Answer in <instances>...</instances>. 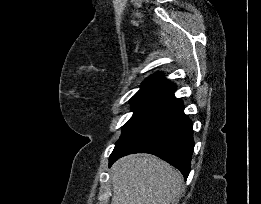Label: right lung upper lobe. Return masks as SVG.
<instances>
[{"mask_svg":"<svg viewBox=\"0 0 261 204\" xmlns=\"http://www.w3.org/2000/svg\"><path fill=\"white\" fill-rule=\"evenodd\" d=\"M175 90L176 86L167 80L163 73L159 72L148 77L136 94L149 93L170 96Z\"/></svg>","mask_w":261,"mask_h":204,"instance_id":"cb5924a9","label":"right lung upper lobe"}]
</instances>
